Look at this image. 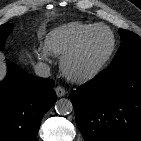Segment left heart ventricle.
Wrapping results in <instances>:
<instances>
[{"label": "left heart ventricle", "mask_w": 141, "mask_h": 141, "mask_svg": "<svg viewBox=\"0 0 141 141\" xmlns=\"http://www.w3.org/2000/svg\"><path fill=\"white\" fill-rule=\"evenodd\" d=\"M111 46V36L108 31L98 29L86 40L82 49L71 63L75 72H82L95 66L107 54Z\"/></svg>", "instance_id": "left-heart-ventricle-1"}]
</instances>
